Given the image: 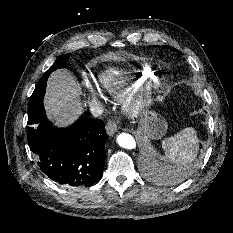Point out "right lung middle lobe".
I'll list each match as a JSON object with an SVG mask.
<instances>
[{
	"instance_id": "right-lung-middle-lobe-1",
	"label": "right lung middle lobe",
	"mask_w": 233,
	"mask_h": 233,
	"mask_svg": "<svg viewBox=\"0 0 233 233\" xmlns=\"http://www.w3.org/2000/svg\"><path fill=\"white\" fill-rule=\"evenodd\" d=\"M70 54H64L59 56L55 63L50 67V69L44 74V76L40 79H46L49 77V75L56 69L63 68L69 58ZM38 89L35 93L33 92L30 102H29V107H28V138L30 135H32L35 130L37 129L38 124L40 121L43 119L45 116V110L43 107V97L45 94V91H39Z\"/></svg>"
}]
</instances>
